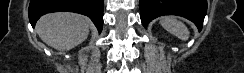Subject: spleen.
<instances>
[{
	"instance_id": "obj_1",
	"label": "spleen",
	"mask_w": 244,
	"mask_h": 73,
	"mask_svg": "<svg viewBox=\"0 0 244 73\" xmlns=\"http://www.w3.org/2000/svg\"><path fill=\"white\" fill-rule=\"evenodd\" d=\"M160 24L166 31L178 37L179 39L183 41L188 40L189 38L188 28L184 23L178 21L175 17H164L160 21Z\"/></svg>"
}]
</instances>
